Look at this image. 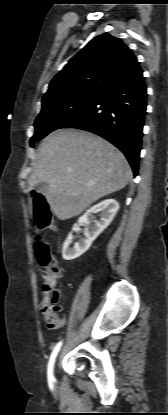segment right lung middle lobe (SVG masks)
<instances>
[{
    "label": "right lung middle lobe",
    "instance_id": "obj_1",
    "mask_svg": "<svg viewBox=\"0 0 168 415\" xmlns=\"http://www.w3.org/2000/svg\"><path fill=\"white\" fill-rule=\"evenodd\" d=\"M103 90L87 89L64 94L42 102V110L35 120V133L30 146L50 132L59 129L66 121L97 100Z\"/></svg>",
    "mask_w": 168,
    "mask_h": 415
}]
</instances>
